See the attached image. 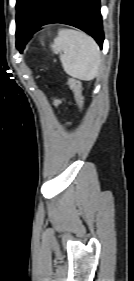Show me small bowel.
Returning a JSON list of instances; mask_svg holds the SVG:
<instances>
[{
	"mask_svg": "<svg viewBox=\"0 0 134 281\" xmlns=\"http://www.w3.org/2000/svg\"><path fill=\"white\" fill-rule=\"evenodd\" d=\"M61 103H62V100H61V99H55V100H54V105H55V106H59Z\"/></svg>",
	"mask_w": 134,
	"mask_h": 281,
	"instance_id": "obj_1",
	"label": "small bowel"
}]
</instances>
